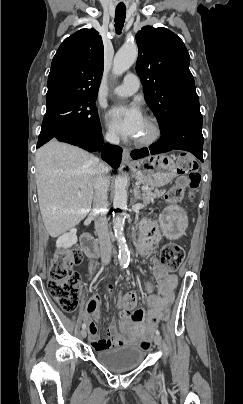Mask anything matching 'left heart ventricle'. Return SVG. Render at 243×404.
<instances>
[{
    "instance_id": "b2bd125f",
    "label": "left heart ventricle",
    "mask_w": 243,
    "mask_h": 404,
    "mask_svg": "<svg viewBox=\"0 0 243 404\" xmlns=\"http://www.w3.org/2000/svg\"><path fill=\"white\" fill-rule=\"evenodd\" d=\"M151 133V126L150 123L145 119V123H144V128L142 131V134L140 135V137L137 140H141V139H145L147 138Z\"/></svg>"
}]
</instances>
